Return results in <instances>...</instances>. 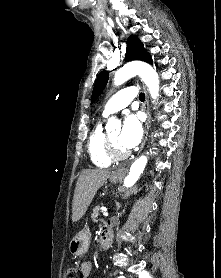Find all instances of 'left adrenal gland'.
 <instances>
[{"label":"left adrenal gland","mask_w":221,"mask_h":278,"mask_svg":"<svg viewBox=\"0 0 221 278\" xmlns=\"http://www.w3.org/2000/svg\"><path fill=\"white\" fill-rule=\"evenodd\" d=\"M116 205H117V210H119L121 205L119 203H116Z\"/></svg>","instance_id":"obj_1"}]
</instances>
